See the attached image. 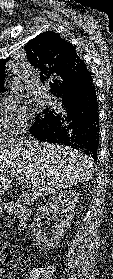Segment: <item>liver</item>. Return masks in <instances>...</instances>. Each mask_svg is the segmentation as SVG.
Wrapping results in <instances>:
<instances>
[{
    "mask_svg": "<svg viewBox=\"0 0 113 279\" xmlns=\"http://www.w3.org/2000/svg\"><path fill=\"white\" fill-rule=\"evenodd\" d=\"M8 171L26 178L33 194L44 197L90 180L94 161L67 146L10 140L0 148V194L11 184Z\"/></svg>",
    "mask_w": 113,
    "mask_h": 279,
    "instance_id": "6515ba94",
    "label": "liver"
}]
</instances>
